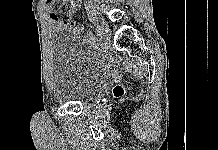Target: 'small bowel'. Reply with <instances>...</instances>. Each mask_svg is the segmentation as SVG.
Masks as SVG:
<instances>
[{"instance_id":"small-bowel-1","label":"small bowel","mask_w":218,"mask_h":150,"mask_svg":"<svg viewBox=\"0 0 218 150\" xmlns=\"http://www.w3.org/2000/svg\"><path fill=\"white\" fill-rule=\"evenodd\" d=\"M59 3V6H63L69 3V9L64 19L60 18L54 9V3ZM79 5V0H48L46 4V12L49 14V22L53 31L68 30L73 32L80 31V27L72 21V16L75 14Z\"/></svg>"}]
</instances>
